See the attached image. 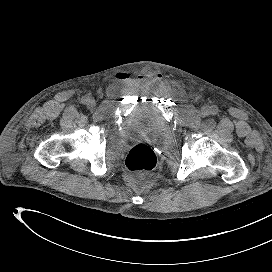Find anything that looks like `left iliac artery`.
Returning <instances> with one entry per match:
<instances>
[{"instance_id": "44dca946", "label": "left iliac artery", "mask_w": 272, "mask_h": 272, "mask_svg": "<svg viewBox=\"0 0 272 272\" xmlns=\"http://www.w3.org/2000/svg\"><path fill=\"white\" fill-rule=\"evenodd\" d=\"M211 113H212L213 115L217 114V113H218V108H217L216 106H213V107L211 108Z\"/></svg>"}]
</instances>
